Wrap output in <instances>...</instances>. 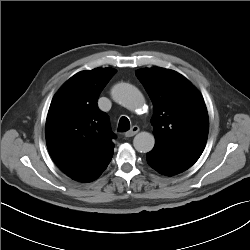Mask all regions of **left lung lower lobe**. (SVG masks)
Instances as JSON below:
<instances>
[{
    "mask_svg": "<svg viewBox=\"0 0 250 250\" xmlns=\"http://www.w3.org/2000/svg\"><path fill=\"white\" fill-rule=\"evenodd\" d=\"M199 157L195 153L169 152L154 147L147 153V162L157 172L173 176L190 168Z\"/></svg>",
    "mask_w": 250,
    "mask_h": 250,
    "instance_id": "left-lung-lower-lobe-1",
    "label": "left lung lower lobe"
}]
</instances>
